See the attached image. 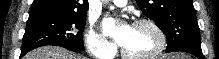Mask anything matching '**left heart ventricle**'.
<instances>
[{
	"label": "left heart ventricle",
	"instance_id": "left-heart-ventricle-1",
	"mask_svg": "<svg viewBox=\"0 0 219 59\" xmlns=\"http://www.w3.org/2000/svg\"><path fill=\"white\" fill-rule=\"evenodd\" d=\"M157 43V36L150 27L133 26L130 36L122 47L130 54L144 55L151 52Z\"/></svg>",
	"mask_w": 219,
	"mask_h": 59
}]
</instances>
